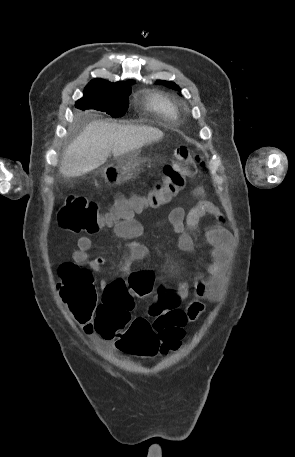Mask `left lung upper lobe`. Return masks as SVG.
Here are the masks:
<instances>
[{
	"mask_svg": "<svg viewBox=\"0 0 295 457\" xmlns=\"http://www.w3.org/2000/svg\"><path fill=\"white\" fill-rule=\"evenodd\" d=\"M160 82H162L163 85H165L169 88L180 90V88L173 82H168V81H160Z\"/></svg>",
	"mask_w": 295,
	"mask_h": 457,
	"instance_id": "1",
	"label": "left lung upper lobe"
}]
</instances>
